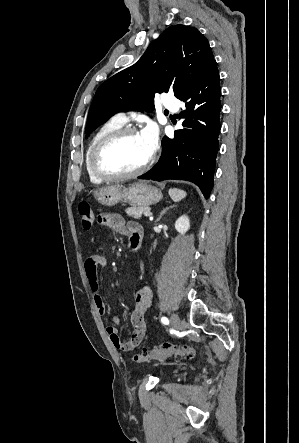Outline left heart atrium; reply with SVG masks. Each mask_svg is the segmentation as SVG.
<instances>
[{"instance_id":"obj_1","label":"left heart atrium","mask_w":299,"mask_h":443,"mask_svg":"<svg viewBox=\"0 0 299 443\" xmlns=\"http://www.w3.org/2000/svg\"><path fill=\"white\" fill-rule=\"evenodd\" d=\"M141 136L147 146L148 154L151 156L158 145V131L154 124H148L143 131L141 132Z\"/></svg>"}]
</instances>
